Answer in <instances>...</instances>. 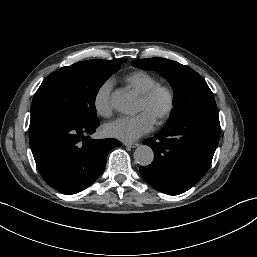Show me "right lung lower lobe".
Returning <instances> with one entry per match:
<instances>
[{"instance_id":"1","label":"right lung lower lobe","mask_w":257,"mask_h":257,"mask_svg":"<svg viewBox=\"0 0 257 257\" xmlns=\"http://www.w3.org/2000/svg\"><path fill=\"white\" fill-rule=\"evenodd\" d=\"M99 124V120L72 123L52 116L31 117L30 147L49 186L63 194H75L99 177L109 151L121 144L114 138L91 139Z\"/></svg>"}]
</instances>
